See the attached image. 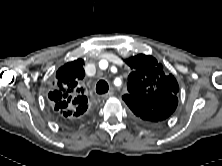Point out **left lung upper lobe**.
<instances>
[{
	"mask_svg": "<svg viewBox=\"0 0 222 166\" xmlns=\"http://www.w3.org/2000/svg\"><path fill=\"white\" fill-rule=\"evenodd\" d=\"M125 61L132 72L128 76V93L122 99L132 111L137 108L145 112L146 109L144 104L134 102L133 98H146V105L147 101L154 105L159 99L176 96L179 92L174 76L165 74L163 66L154 57L138 54Z\"/></svg>",
	"mask_w": 222,
	"mask_h": 166,
	"instance_id": "1",
	"label": "left lung upper lobe"
}]
</instances>
